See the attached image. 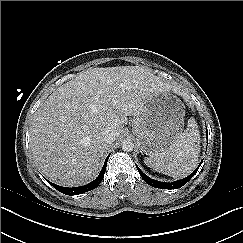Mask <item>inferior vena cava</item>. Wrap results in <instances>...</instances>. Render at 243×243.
I'll use <instances>...</instances> for the list:
<instances>
[{
	"label": "inferior vena cava",
	"instance_id": "inferior-vena-cava-1",
	"mask_svg": "<svg viewBox=\"0 0 243 243\" xmlns=\"http://www.w3.org/2000/svg\"><path fill=\"white\" fill-rule=\"evenodd\" d=\"M102 139L106 144H111L116 140V131L114 129H107L102 133Z\"/></svg>",
	"mask_w": 243,
	"mask_h": 243
}]
</instances>
